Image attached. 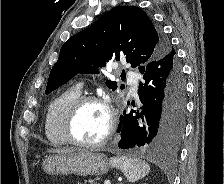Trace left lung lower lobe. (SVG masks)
<instances>
[{"mask_svg": "<svg viewBox=\"0 0 224 184\" xmlns=\"http://www.w3.org/2000/svg\"><path fill=\"white\" fill-rule=\"evenodd\" d=\"M140 73L141 107L130 112L124 110L121 115L118 146L144 147L165 155L178 146L184 131L185 82L175 50L148 63Z\"/></svg>", "mask_w": 224, "mask_h": 184, "instance_id": "obj_1", "label": "left lung lower lobe"}]
</instances>
